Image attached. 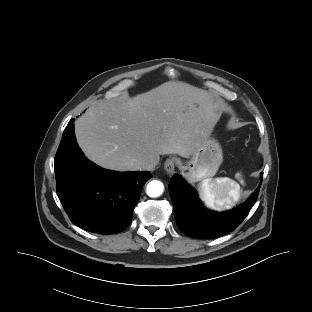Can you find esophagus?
I'll use <instances>...</instances> for the list:
<instances>
[{
	"label": "esophagus",
	"mask_w": 312,
	"mask_h": 312,
	"mask_svg": "<svg viewBox=\"0 0 312 312\" xmlns=\"http://www.w3.org/2000/svg\"><path fill=\"white\" fill-rule=\"evenodd\" d=\"M176 162L174 158H169L165 161L164 169L168 175H172L175 172Z\"/></svg>",
	"instance_id": "1"
}]
</instances>
